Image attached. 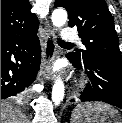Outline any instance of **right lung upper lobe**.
<instances>
[{"instance_id":"obj_1","label":"right lung upper lobe","mask_w":122,"mask_h":123,"mask_svg":"<svg viewBox=\"0 0 122 123\" xmlns=\"http://www.w3.org/2000/svg\"><path fill=\"white\" fill-rule=\"evenodd\" d=\"M28 0H1V36H27L37 32L39 21Z\"/></svg>"}]
</instances>
